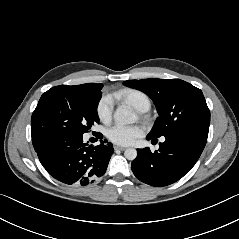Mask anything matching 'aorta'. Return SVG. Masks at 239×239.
<instances>
[{"instance_id":"762f6f07","label":"aorta","mask_w":239,"mask_h":239,"mask_svg":"<svg viewBox=\"0 0 239 239\" xmlns=\"http://www.w3.org/2000/svg\"><path fill=\"white\" fill-rule=\"evenodd\" d=\"M114 120L118 124H132L135 123L137 120V116L132 111V109L126 105L119 106L116 111L114 112ZM124 156L128 160H134L137 157V150L134 148H128L124 152Z\"/></svg>"}]
</instances>
